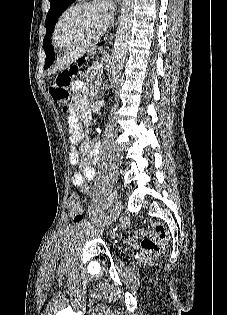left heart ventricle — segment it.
<instances>
[{
    "label": "left heart ventricle",
    "instance_id": "obj_1",
    "mask_svg": "<svg viewBox=\"0 0 227 315\" xmlns=\"http://www.w3.org/2000/svg\"><path fill=\"white\" fill-rule=\"evenodd\" d=\"M105 22L101 8L83 6L70 11L63 19L57 34V43L66 47L94 35Z\"/></svg>",
    "mask_w": 227,
    "mask_h": 315
}]
</instances>
